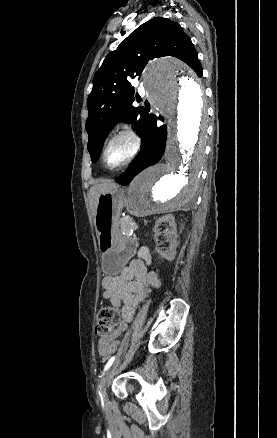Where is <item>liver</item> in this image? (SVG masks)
Masks as SVG:
<instances>
[{"instance_id": "obj_1", "label": "liver", "mask_w": 277, "mask_h": 438, "mask_svg": "<svg viewBox=\"0 0 277 438\" xmlns=\"http://www.w3.org/2000/svg\"><path fill=\"white\" fill-rule=\"evenodd\" d=\"M109 184H99V186H93L90 190V194L93 198L94 208H96V202L99 194H106L111 192L112 188H117L116 184H111V180H108Z\"/></svg>"}]
</instances>
